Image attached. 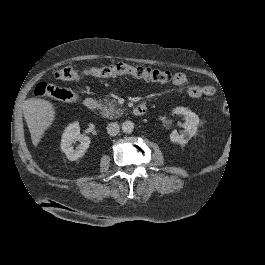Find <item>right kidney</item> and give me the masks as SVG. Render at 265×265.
Returning <instances> with one entry per match:
<instances>
[{
  "mask_svg": "<svg viewBox=\"0 0 265 265\" xmlns=\"http://www.w3.org/2000/svg\"><path fill=\"white\" fill-rule=\"evenodd\" d=\"M79 141V145L74 147ZM90 138L80 134V126L78 123L70 125L63 134L61 148L67 154V157L75 161L85 154L90 145Z\"/></svg>",
  "mask_w": 265,
  "mask_h": 265,
  "instance_id": "1",
  "label": "right kidney"
}]
</instances>
